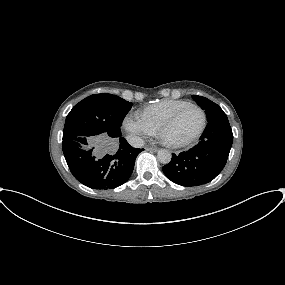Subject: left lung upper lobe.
<instances>
[{"label": "left lung upper lobe", "instance_id": "1", "mask_svg": "<svg viewBox=\"0 0 285 285\" xmlns=\"http://www.w3.org/2000/svg\"><path fill=\"white\" fill-rule=\"evenodd\" d=\"M192 98L203 110H205V113L207 115V121H210L215 118L227 117L223 110L209 99L197 95H193Z\"/></svg>", "mask_w": 285, "mask_h": 285}]
</instances>
